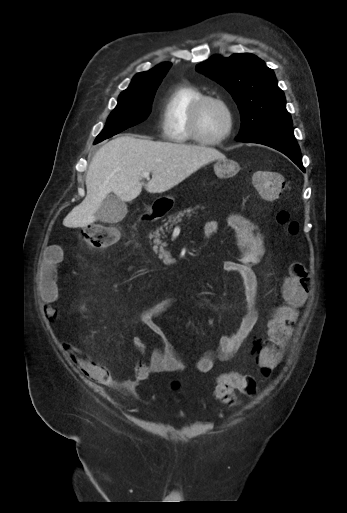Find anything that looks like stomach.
<instances>
[{"mask_svg": "<svg viewBox=\"0 0 347 513\" xmlns=\"http://www.w3.org/2000/svg\"><path fill=\"white\" fill-rule=\"evenodd\" d=\"M214 172L219 178H229L234 176L240 169L239 164L230 159H219L214 164ZM173 201V198H167Z\"/></svg>", "mask_w": 347, "mask_h": 513, "instance_id": "stomach-1", "label": "stomach"}]
</instances>
